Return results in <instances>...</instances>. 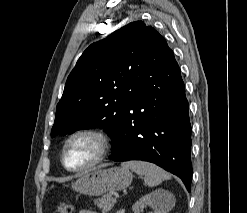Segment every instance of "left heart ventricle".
Returning <instances> with one entry per match:
<instances>
[{"mask_svg": "<svg viewBox=\"0 0 247 213\" xmlns=\"http://www.w3.org/2000/svg\"><path fill=\"white\" fill-rule=\"evenodd\" d=\"M98 148V142L93 137L79 136L66 149V164L71 168L84 166L95 158Z\"/></svg>", "mask_w": 247, "mask_h": 213, "instance_id": "b2bd125f", "label": "left heart ventricle"}]
</instances>
